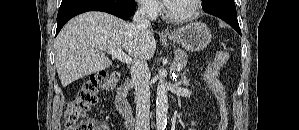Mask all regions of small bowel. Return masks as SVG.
Segmentation results:
<instances>
[{
  "label": "small bowel",
  "mask_w": 299,
  "mask_h": 130,
  "mask_svg": "<svg viewBox=\"0 0 299 130\" xmlns=\"http://www.w3.org/2000/svg\"><path fill=\"white\" fill-rule=\"evenodd\" d=\"M193 125H194V123H193ZM103 126H104L105 130H109L106 125H103ZM189 130H193V129H189Z\"/></svg>",
  "instance_id": "c3829d8e"
}]
</instances>
